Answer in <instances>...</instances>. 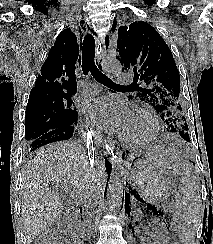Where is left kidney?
<instances>
[{
	"label": "left kidney",
	"mask_w": 213,
	"mask_h": 244,
	"mask_svg": "<svg viewBox=\"0 0 213 244\" xmlns=\"http://www.w3.org/2000/svg\"><path fill=\"white\" fill-rule=\"evenodd\" d=\"M138 212L140 213L139 210ZM137 217H142V215L138 214ZM151 237L153 239V242L151 244H168V238L163 228H156Z\"/></svg>",
	"instance_id": "obj_1"
}]
</instances>
